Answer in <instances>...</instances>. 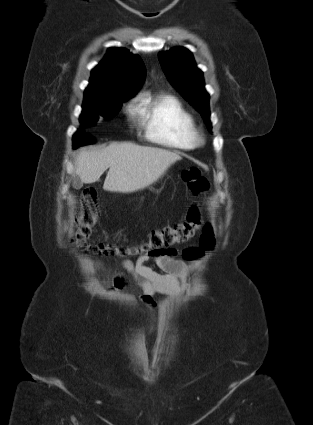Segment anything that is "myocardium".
Segmentation results:
<instances>
[{
  "label": "myocardium",
  "instance_id": "myocardium-1",
  "mask_svg": "<svg viewBox=\"0 0 313 425\" xmlns=\"http://www.w3.org/2000/svg\"><path fill=\"white\" fill-rule=\"evenodd\" d=\"M202 142H203V139H202L201 135H200L199 133H197V132H196V135H195V143H196V144H200V143H202Z\"/></svg>",
  "mask_w": 313,
  "mask_h": 425
}]
</instances>
